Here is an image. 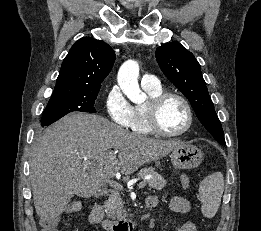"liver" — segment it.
I'll list each match as a JSON object with an SVG mask.
<instances>
[{"label":"liver","instance_id":"liver-1","mask_svg":"<svg viewBox=\"0 0 261 231\" xmlns=\"http://www.w3.org/2000/svg\"><path fill=\"white\" fill-rule=\"evenodd\" d=\"M182 144L129 132L98 115L68 114L34 142L29 163L36 213L43 222L53 220L74 195L89 198L116 173H133Z\"/></svg>","mask_w":261,"mask_h":231}]
</instances>
